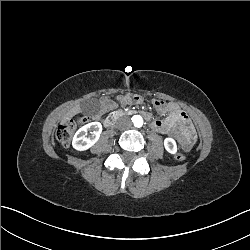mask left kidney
<instances>
[{
    "instance_id": "5707ae66",
    "label": "left kidney",
    "mask_w": 250,
    "mask_h": 250,
    "mask_svg": "<svg viewBox=\"0 0 250 250\" xmlns=\"http://www.w3.org/2000/svg\"><path fill=\"white\" fill-rule=\"evenodd\" d=\"M165 147L170 153H174L176 151L175 141L171 138L165 140Z\"/></svg>"
}]
</instances>
